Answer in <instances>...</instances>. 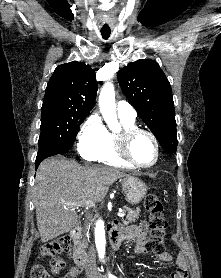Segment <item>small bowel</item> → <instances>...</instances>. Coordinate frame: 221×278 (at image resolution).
I'll return each instance as SVG.
<instances>
[{"mask_svg": "<svg viewBox=\"0 0 221 278\" xmlns=\"http://www.w3.org/2000/svg\"><path fill=\"white\" fill-rule=\"evenodd\" d=\"M146 222H141L139 225L131 226L126 229V234L129 239H133L136 242L135 253L138 255L145 254L146 249ZM158 259L163 263H170L172 257L168 252H162L158 254ZM81 270L77 267L71 268L62 278H77ZM165 278H187V266L185 257L179 254L176 259V271L169 277Z\"/></svg>", "mask_w": 221, "mask_h": 278, "instance_id": "c3829d8e", "label": "small bowel"}]
</instances>
